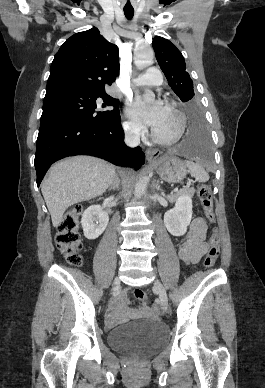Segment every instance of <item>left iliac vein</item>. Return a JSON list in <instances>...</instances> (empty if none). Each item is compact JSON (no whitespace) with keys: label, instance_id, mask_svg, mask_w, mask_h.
<instances>
[{"label":"left iliac vein","instance_id":"obj_1","mask_svg":"<svg viewBox=\"0 0 265 388\" xmlns=\"http://www.w3.org/2000/svg\"><path fill=\"white\" fill-rule=\"evenodd\" d=\"M154 285H155V288L157 289V292L159 295L161 308L165 312L167 310V307H168V297H167L166 291H165L163 285L158 280L155 281Z\"/></svg>","mask_w":265,"mask_h":388}]
</instances>
